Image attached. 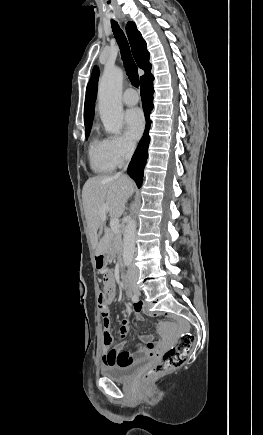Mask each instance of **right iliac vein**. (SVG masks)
I'll list each match as a JSON object with an SVG mask.
<instances>
[{
	"instance_id": "right-iliac-vein-1",
	"label": "right iliac vein",
	"mask_w": 263,
	"mask_h": 435,
	"mask_svg": "<svg viewBox=\"0 0 263 435\" xmlns=\"http://www.w3.org/2000/svg\"><path fill=\"white\" fill-rule=\"evenodd\" d=\"M133 291H134L135 293H137V292H138V289H137V288H133Z\"/></svg>"
}]
</instances>
